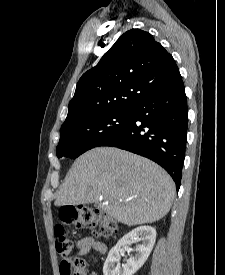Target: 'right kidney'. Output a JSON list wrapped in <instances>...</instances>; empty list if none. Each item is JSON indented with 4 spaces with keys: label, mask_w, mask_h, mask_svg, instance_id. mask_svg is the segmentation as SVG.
Segmentation results:
<instances>
[{
    "label": "right kidney",
    "mask_w": 225,
    "mask_h": 275,
    "mask_svg": "<svg viewBox=\"0 0 225 275\" xmlns=\"http://www.w3.org/2000/svg\"><path fill=\"white\" fill-rule=\"evenodd\" d=\"M135 240L142 243L136 246V253L131 255L126 264L120 265L122 246L130 245ZM156 240V230L151 226H140L125 236L110 250L103 266L104 275H133L148 259Z\"/></svg>",
    "instance_id": "right-kidney-1"
}]
</instances>
